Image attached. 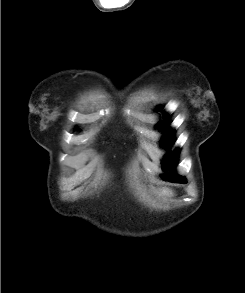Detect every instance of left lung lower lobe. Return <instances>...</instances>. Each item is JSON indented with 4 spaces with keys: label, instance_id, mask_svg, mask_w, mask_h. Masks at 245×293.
<instances>
[{
    "label": "left lung lower lobe",
    "instance_id": "0a47b994",
    "mask_svg": "<svg viewBox=\"0 0 245 293\" xmlns=\"http://www.w3.org/2000/svg\"><path fill=\"white\" fill-rule=\"evenodd\" d=\"M178 183L185 184V183H186V180H185V179H183V180H181V181H180V182H178Z\"/></svg>",
    "mask_w": 245,
    "mask_h": 293
}]
</instances>
